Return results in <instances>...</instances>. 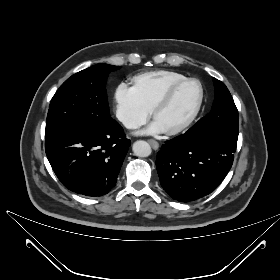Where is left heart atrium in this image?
<instances>
[{"mask_svg":"<svg viewBox=\"0 0 280 280\" xmlns=\"http://www.w3.org/2000/svg\"><path fill=\"white\" fill-rule=\"evenodd\" d=\"M163 132L162 128L156 121H153L147 129L137 132V134H157Z\"/></svg>","mask_w":280,"mask_h":280,"instance_id":"1","label":"left heart atrium"}]
</instances>
